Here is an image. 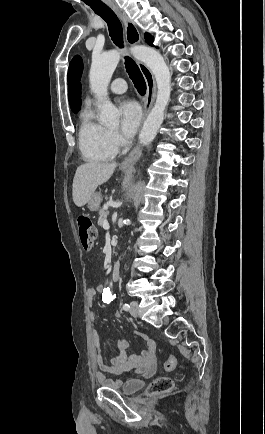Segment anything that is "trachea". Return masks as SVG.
<instances>
[{"mask_svg": "<svg viewBox=\"0 0 265 434\" xmlns=\"http://www.w3.org/2000/svg\"><path fill=\"white\" fill-rule=\"evenodd\" d=\"M87 5H89V7H91L95 13H97V15H100V17L106 21L112 40L117 46H119V48H123L122 25L115 13L104 3H87ZM125 68L137 91L141 95L145 94L146 83L144 81L143 75L138 65L128 56L125 57Z\"/></svg>", "mask_w": 265, "mask_h": 434, "instance_id": "obj_1", "label": "trachea"}]
</instances>
